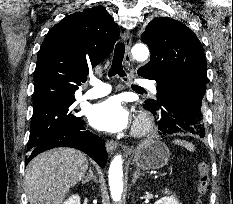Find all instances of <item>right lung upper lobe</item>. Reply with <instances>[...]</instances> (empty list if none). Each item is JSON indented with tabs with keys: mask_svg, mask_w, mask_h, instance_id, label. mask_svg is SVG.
<instances>
[{
	"mask_svg": "<svg viewBox=\"0 0 233 204\" xmlns=\"http://www.w3.org/2000/svg\"><path fill=\"white\" fill-rule=\"evenodd\" d=\"M119 26L103 7L65 17L45 37L34 74L33 104L74 97L89 69L113 50Z\"/></svg>",
	"mask_w": 233,
	"mask_h": 204,
	"instance_id": "cb5924a9",
	"label": "right lung upper lobe"
}]
</instances>
